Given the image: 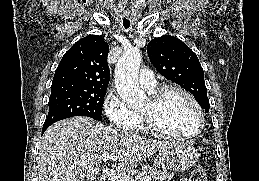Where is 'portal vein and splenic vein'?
<instances>
[{"mask_svg":"<svg viewBox=\"0 0 259 181\" xmlns=\"http://www.w3.org/2000/svg\"><path fill=\"white\" fill-rule=\"evenodd\" d=\"M109 159H111L110 156H104V161H107ZM102 173L109 181H135L134 178L126 174L116 173L115 171L110 170L108 168H103ZM140 181H151V178L144 177V178H141Z\"/></svg>","mask_w":259,"mask_h":181,"instance_id":"18ae733b","label":"portal vein and splenic vein"}]
</instances>
